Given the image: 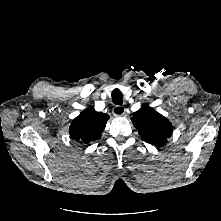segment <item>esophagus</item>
Segmentation results:
<instances>
[{
    "instance_id": "1",
    "label": "esophagus",
    "mask_w": 221,
    "mask_h": 221,
    "mask_svg": "<svg viewBox=\"0 0 221 221\" xmlns=\"http://www.w3.org/2000/svg\"><path fill=\"white\" fill-rule=\"evenodd\" d=\"M112 112L115 116L119 117V116H123L125 114L126 109L123 106L117 105V106L113 107Z\"/></svg>"
}]
</instances>
